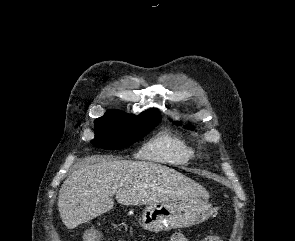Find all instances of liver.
I'll return each instance as SVG.
<instances>
[{
    "label": "liver",
    "mask_w": 295,
    "mask_h": 241,
    "mask_svg": "<svg viewBox=\"0 0 295 241\" xmlns=\"http://www.w3.org/2000/svg\"><path fill=\"white\" fill-rule=\"evenodd\" d=\"M122 205H150L208 198L204 187L153 162L95 158L72 172L61 186L58 210L68 229L111 210L112 196Z\"/></svg>",
    "instance_id": "1"
}]
</instances>
